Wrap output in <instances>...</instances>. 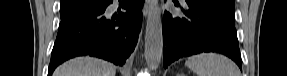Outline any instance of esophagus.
<instances>
[{"instance_id": "obj_1", "label": "esophagus", "mask_w": 287, "mask_h": 76, "mask_svg": "<svg viewBox=\"0 0 287 76\" xmlns=\"http://www.w3.org/2000/svg\"><path fill=\"white\" fill-rule=\"evenodd\" d=\"M151 11V2L150 0H146L143 7V14L146 17Z\"/></svg>"}]
</instances>
